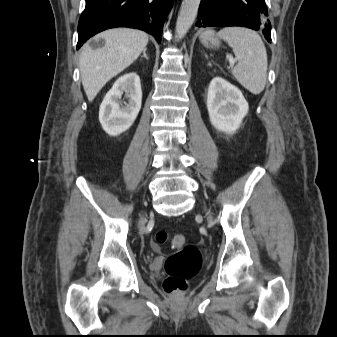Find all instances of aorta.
<instances>
[{"mask_svg": "<svg viewBox=\"0 0 337 337\" xmlns=\"http://www.w3.org/2000/svg\"><path fill=\"white\" fill-rule=\"evenodd\" d=\"M201 0H183L176 22V35L182 39L195 21Z\"/></svg>", "mask_w": 337, "mask_h": 337, "instance_id": "1", "label": "aorta"}]
</instances>
